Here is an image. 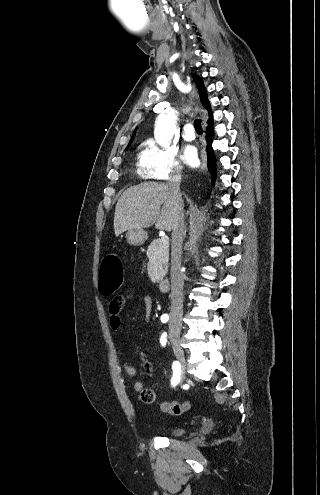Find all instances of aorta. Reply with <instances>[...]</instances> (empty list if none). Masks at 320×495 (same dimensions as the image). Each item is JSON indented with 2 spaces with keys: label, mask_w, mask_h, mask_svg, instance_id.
Returning <instances> with one entry per match:
<instances>
[{
  "label": "aorta",
  "mask_w": 320,
  "mask_h": 495,
  "mask_svg": "<svg viewBox=\"0 0 320 495\" xmlns=\"http://www.w3.org/2000/svg\"><path fill=\"white\" fill-rule=\"evenodd\" d=\"M177 112L173 108H168L155 120L154 137L161 147H168L176 129Z\"/></svg>",
  "instance_id": "762f6f07"
}]
</instances>
